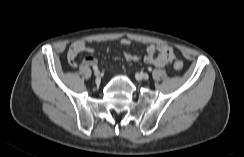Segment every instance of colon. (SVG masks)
Masks as SVG:
<instances>
[{
  "label": "colon",
  "mask_w": 244,
  "mask_h": 157,
  "mask_svg": "<svg viewBox=\"0 0 244 157\" xmlns=\"http://www.w3.org/2000/svg\"><path fill=\"white\" fill-rule=\"evenodd\" d=\"M174 68L176 70H181L183 68V62L181 60H176L174 62Z\"/></svg>",
  "instance_id": "obj_1"
}]
</instances>
